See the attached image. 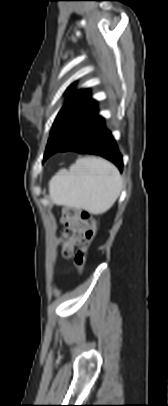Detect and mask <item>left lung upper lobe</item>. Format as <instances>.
Here are the masks:
<instances>
[{
    "label": "left lung upper lobe",
    "mask_w": 168,
    "mask_h": 406,
    "mask_svg": "<svg viewBox=\"0 0 168 406\" xmlns=\"http://www.w3.org/2000/svg\"><path fill=\"white\" fill-rule=\"evenodd\" d=\"M96 106L97 103L90 98L88 89L73 93L54 121L44 157L74 138L82 130Z\"/></svg>",
    "instance_id": "left-lung-upper-lobe-1"
}]
</instances>
